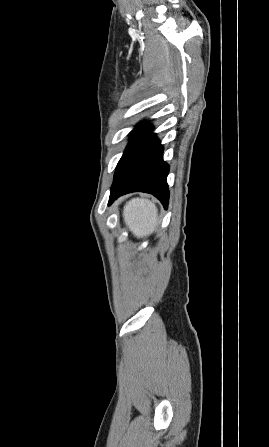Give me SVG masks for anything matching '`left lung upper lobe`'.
<instances>
[{
    "mask_svg": "<svg viewBox=\"0 0 269 447\" xmlns=\"http://www.w3.org/2000/svg\"><path fill=\"white\" fill-rule=\"evenodd\" d=\"M151 131L152 127L145 126V127H138L131 133L132 139L130 140L126 150L124 151L123 156L121 157L120 161L117 164L114 177L117 174L120 167L122 166V164L124 163V161L131 154V152L151 133Z\"/></svg>",
    "mask_w": 269,
    "mask_h": 447,
    "instance_id": "left-lung-upper-lobe-1",
    "label": "left lung upper lobe"
}]
</instances>
